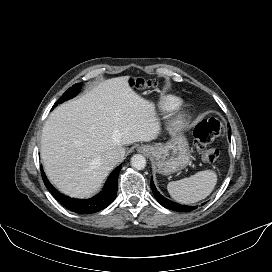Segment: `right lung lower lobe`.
I'll return each instance as SVG.
<instances>
[{"label":"right lung lower lobe","mask_w":272,"mask_h":272,"mask_svg":"<svg viewBox=\"0 0 272 272\" xmlns=\"http://www.w3.org/2000/svg\"><path fill=\"white\" fill-rule=\"evenodd\" d=\"M121 168L122 164L115 168L106 181L103 191L90 199H74L61 194L50 184L42 168L41 174L49 192L65 208L76 213L90 214L103 210L114 201L117 195V181Z\"/></svg>","instance_id":"obj_1"}]
</instances>
